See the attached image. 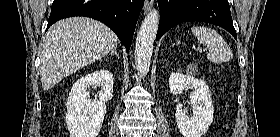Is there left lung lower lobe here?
<instances>
[{"label":"left lung lower lobe","instance_id":"1","mask_svg":"<svg viewBox=\"0 0 280 137\" xmlns=\"http://www.w3.org/2000/svg\"><path fill=\"white\" fill-rule=\"evenodd\" d=\"M159 28L156 40L172 27L189 21H199L220 26L237 40L227 0H158Z\"/></svg>","mask_w":280,"mask_h":137}]
</instances>
